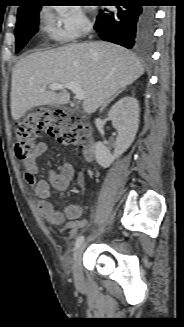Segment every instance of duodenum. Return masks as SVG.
<instances>
[{"label":"duodenum","mask_w":184,"mask_h":327,"mask_svg":"<svg viewBox=\"0 0 184 327\" xmlns=\"http://www.w3.org/2000/svg\"><path fill=\"white\" fill-rule=\"evenodd\" d=\"M85 120V118H83ZM93 141L90 139L88 143L83 147L82 154L85 160L89 161L93 157L94 149H93Z\"/></svg>","instance_id":"duodenum-1"}]
</instances>
